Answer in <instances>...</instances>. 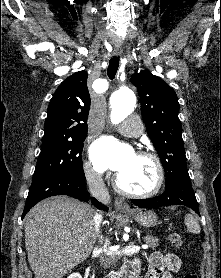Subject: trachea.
<instances>
[{
	"label": "trachea",
	"instance_id": "trachea-1",
	"mask_svg": "<svg viewBox=\"0 0 221 278\" xmlns=\"http://www.w3.org/2000/svg\"><path fill=\"white\" fill-rule=\"evenodd\" d=\"M119 67V57L114 56L109 61V66L107 70V75L110 80H113L116 76Z\"/></svg>",
	"mask_w": 221,
	"mask_h": 278
}]
</instances>
